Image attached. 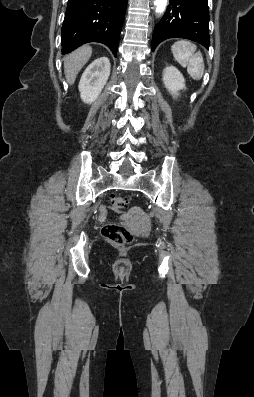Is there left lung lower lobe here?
<instances>
[{"mask_svg":"<svg viewBox=\"0 0 254 397\" xmlns=\"http://www.w3.org/2000/svg\"><path fill=\"white\" fill-rule=\"evenodd\" d=\"M179 37L209 48L207 0H170L164 16L153 32L152 51L165 39Z\"/></svg>","mask_w":254,"mask_h":397,"instance_id":"obj_1","label":"left lung lower lobe"}]
</instances>
